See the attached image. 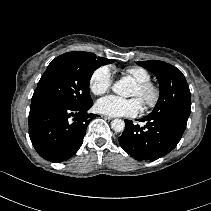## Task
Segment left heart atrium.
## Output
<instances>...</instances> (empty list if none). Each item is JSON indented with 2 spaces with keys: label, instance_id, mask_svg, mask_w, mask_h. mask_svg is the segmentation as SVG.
<instances>
[{
  "label": "left heart atrium",
  "instance_id": "39dd6f15",
  "mask_svg": "<svg viewBox=\"0 0 211 211\" xmlns=\"http://www.w3.org/2000/svg\"><path fill=\"white\" fill-rule=\"evenodd\" d=\"M142 108V102L138 98L125 99L110 95L96 102V110L110 116H135Z\"/></svg>",
  "mask_w": 211,
  "mask_h": 211
}]
</instances>
